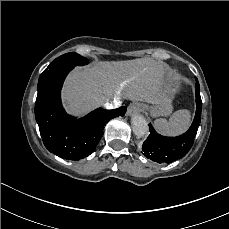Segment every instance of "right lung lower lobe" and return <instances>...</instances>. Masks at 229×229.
Returning a JSON list of instances; mask_svg holds the SVG:
<instances>
[{
    "label": "right lung lower lobe",
    "instance_id": "obj_1",
    "mask_svg": "<svg viewBox=\"0 0 229 229\" xmlns=\"http://www.w3.org/2000/svg\"><path fill=\"white\" fill-rule=\"evenodd\" d=\"M73 66L61 67L40 76L35 104V118L45 147L67 160L89 156L101 137L104 125L112 118L123 116L126 107L114 110L96 109L85 117L69 116L61 105L63 81Z\"/></svg>",
    "mask_w": 229,
    "mask_h": 229
}]
</instances>
